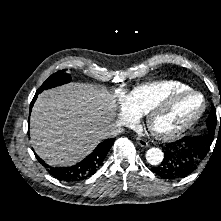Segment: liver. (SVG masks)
I'll use <instances>...</instances> for the list:
<instances>
[{"mask_svg": "<svg viewBox=\"0 0 221 221\" xmlns=\"http://www.w3.org/2000/svg\"><path fill=\"white\" fill-rule=\"evenodd\" d=\"M115 110L116 101L104 86L71 83L46 90L31 113L33 147L49 165H73L98 145Z\"/></svg>", "mask_w": 221, "mask_h": 221, "instance_id": "obj_1", "label": "liver"}]
</instances>
